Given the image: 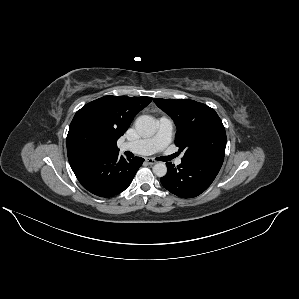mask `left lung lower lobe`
<instances>
[{"mask_svg": "<svg viewBox=\"0 0 299 299\" xmlns=\"http://www.w3.org/2000/svg\"><path fill=\"white\" fill-rule=\"evenodd\" d=\"M224 157L200 155L183 159L180 165L166 163L167 174L161 177L162 185L171 193L192 198L200 195L213 182Z\"/></svg>", "mask_w": 299, "mask_h": 299, "instance_id": "1", "label": "left lung lower lobe"}]
</instances>
